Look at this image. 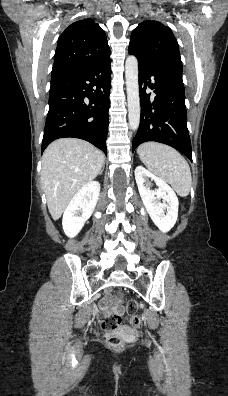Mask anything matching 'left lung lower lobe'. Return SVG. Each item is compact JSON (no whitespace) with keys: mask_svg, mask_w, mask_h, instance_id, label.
I'll list each match as a JSON object with an SVG mask.
<instances>
[{"mask_svg":"<svg viewBox=\"0 0 228 396\" xmlns=\"http://www.w3.org/2000/svg\"><path fill=\"white\" fill-rule=\"evenodd\" d=\"M138 66L141 117L133 151L144 142L155 141L177 149L192 160L182 73L139 61ZM147 86L154 89L155 97L146 94Z\"/></svg>","mask_w":228,"mask_h":396,"instance_id":"left-lung-lower-lobe-1","label":"left lung lower lobe"}]
</instances>
